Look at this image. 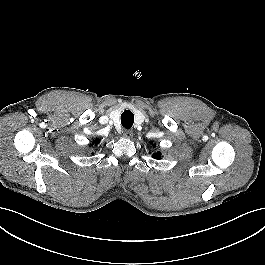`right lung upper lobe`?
Returning <instances> with one entry per match:
<instances>
[{
    "label": "right lung upper lobe",
    "instance_id": "obj_1",
    "mask_svg": "<svg viewBox=\"0 0 265 265\" xmlns=\"http://www.w3.org/2000/svg\"><path fill=\"white\" fill-rule=\"evenodd\" d=\"M99 142V139H96L93 143L97 144Z\"/></svg>",
    "mask_w": 265,
    "mask_h": 265
}]
</instances>
